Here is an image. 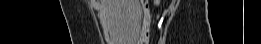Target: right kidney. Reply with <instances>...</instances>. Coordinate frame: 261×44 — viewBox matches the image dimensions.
Listing matches in <instances>:
<instances>
[{"mask_svg":"<svg viewBox=\"0 0 261 44\" xmlns=\"http://www.w3.org/2000/svg\"><path fill=\"white\" fill-rule=\"evenodd\" d=\"M159 3H160L159 0H155V1H154V4H156V5H159Z\"/></svg>","mask_w":261,"mask_h":44,"instance_id":"ca27d5eb","label":"right kidney"}]
</instances>
